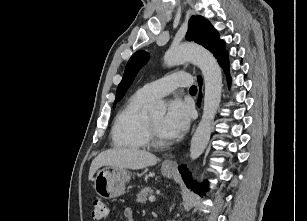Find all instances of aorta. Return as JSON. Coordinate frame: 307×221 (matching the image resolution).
<instances>
[{
  "label": "aorta",
  "mask_w": 307,
  "mask_h": 221,
  "mask_svg": "<svg viewBox=\"0 0 307 221\" xmlns=\"http://www.w3.org/2000/svg\"><path fill=\"white\" fill-rule=\"evenodd\" d=\"M191 61L204 77L205 96L202 118L191 139L190 158L196 160L208 145L212 123L221 102L222 73L215 57L206 49L195 45L172 47L164 55V63L171 67ZM152 112L165 113L166 106L160 101L151 107Z\"/></svg>",
  "instance_id": "762f6f07"
}]
</instances>
